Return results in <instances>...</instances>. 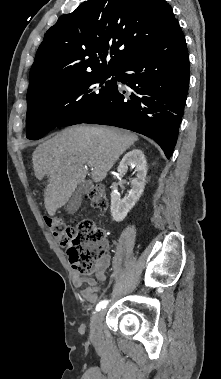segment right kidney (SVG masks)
I'll return each instance as SVG.
<instances>
[{"instance_id":"obj_1","label":"right kidney","mask_w":221,"mask_h":379,"mask_svg":"<svg viewBox=\"0 0 221 379\" xmlns=\"http://www.w3.org/2000/svg\"><path fill=\"white\" fill-rule=\"evenodd\" d=\"M128 166L135 167L136 172V177L131 181V191L123 199L117 193H111L110 208L112 217L116 222H121L125 219L144 191L147 165L142 150L133 149L124 155L117 168L119 174H126Z\"/></svg>"}]
</instances>
